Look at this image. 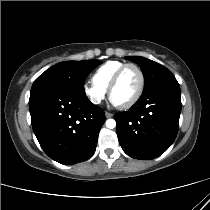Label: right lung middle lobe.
I'll list each match as a JSON object with an SVG mask.
<instances>
[{
    "mask_svg": "<svg viewBox=\"0 0 210 210\" xmlns=\"http://www.w3.org/2000/svg\"><path fill=\"white\" fill-rule=\"evenodd\" d=\"M99 60L65 61L43 72L33 83L31 92L44 88H63L82 94L86 76L98 65Z\"/></svg>",
    "mask_w": 210,
    "mask_h": 210,
    "instance_id": "obj_1",
    "label": "right lung middle lobe"
}]
</instances>
